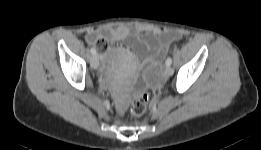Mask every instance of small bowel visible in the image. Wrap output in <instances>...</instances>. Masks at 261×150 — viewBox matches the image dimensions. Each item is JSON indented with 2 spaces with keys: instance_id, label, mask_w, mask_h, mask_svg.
<instances>
[{
  "instance_id": "1",
  "label": "small bowel",
  "mask_w": 261,
  "mask_h": 150,
  "mask_svg": "<svg viewBox=\"0 0 261 150\" xmlns=\"http://www.w3.org/2000/svg\"><path fill=\"white\" fill-rule=\"evenodd\" d=\"M142 33L150 35L149 39H141ZM181 34L174 30H163L157 26L138 25L132 28L119 26L116 28L103 27L91 29L86 34L89 44L97 45L98 49L105 51L108 42L125 41L128 46L134 48L140 61L133 64L132 69L136 71L142 65L146 66V80L153 82L159 72L160 60L165 56L169 46L178 41ZM107 54L104 55V58Z\"/></svg>"
}]
</instances>
